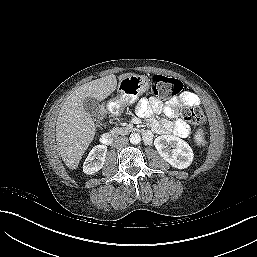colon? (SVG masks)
<instances>
[{"label":"colon","mask_w":257,"mask_h":257,"mask_svg":"<svg viewBox=\"0 0 257 257\" xmlns=\"http://www.w3.org/2000/svg\"><path fill=\"white\" fill-rule=\"evenodd\" d=\"M150 83L153 93L160 99H168L178 94L182 89V83L179 80L163 75H154ZM182 115L189 123L199 129L203 128L205 116L199 107H186L183 109Z\"/></svg>","instance_id":"colon-1"}]
</instances>
